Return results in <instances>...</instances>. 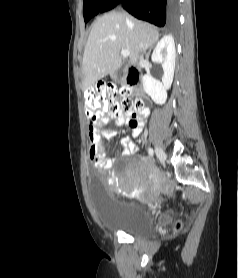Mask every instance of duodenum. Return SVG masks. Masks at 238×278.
<instances>
[{
    "instance_id": "obj_1",
    "label": "duodenum",
    "mask_w": 238,
    "mask_h": 278,
    "mask_svg": "<svg viewBox=\"0 0 238 278\" xmlns=\"http://www.w3.org/2000/svg\"><path fill=\"white\" fill-rule=\"evenodd\" d=\"M124 75L128 86L134 88L139 81V71L136 68L130 67L125 69Z\"/></svg>"
}]
</instances>
